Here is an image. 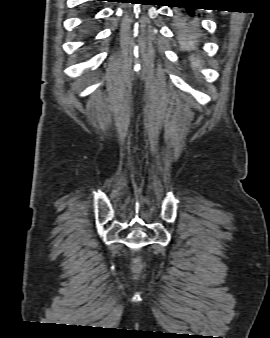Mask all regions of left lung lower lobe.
<instances>
[{"instance_id":"1","label":"left lung lower lobe","mask_w":270,"mask_h":338,"mask_svg":"<svg viewBox=\"0 0 270 338\" xmlns=\"http://www.w3.org/2000/svg\"><path fill=\"white\" fill-rule=\"evenodd\" d=\"M183 9L178 10L175 24L177 28V37L180 41L187 42L196 39L199 34V28L196 24L194 7L180 6ZM185 8V9H184Z\"/></svg>"}]
</instances>
